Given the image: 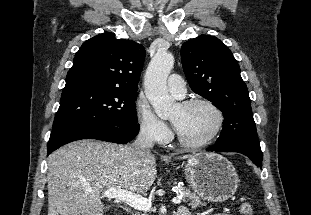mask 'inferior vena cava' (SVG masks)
<instances>
[{"label": "inferior vena cava", "instance_id": "1", "mask_svg": "<svg viewBox=\"0 0 311 215\" xmlns=\"http://www.w3.org/2000/svg\"><path fill=\"white\" fill-rule=\"evenodd\" d=\"M154 139V131L147 126H143L138 134L136 141L133 144V151L136 153H143L152 149L154 145Z\"/></svg>", "mask_w": 311, "mask_h": 215}]
</instances>
